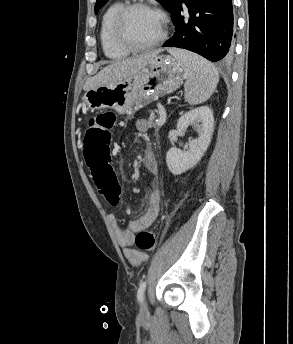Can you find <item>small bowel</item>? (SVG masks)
Here are the masks:
<instances>
[{
  "label": "small bowel",
  "mask_w": 293,
  "mask_h": 344,
  "mask_svg": "<svg viewBox=\"0 0 293 344\" xmlns=\"http://www.w3.org/2000/svg\"><path fill=\"white\" fill-rule=\"evenodd\" d=\"M119 126L122 125L119 124ZM137 128L140 131H146L149 128V122L146 120H141L137 123ZM143 161L148 172L153 175H156L158 173V163L153 151L150 148L146 149ZM159 208L160 191L159 188L155 186L149 193L148 209L145 214L139 219L132 220L126 229H123L119 226L116 215L112 214L110 216V220L115 229L118 243L122 247L125 257L133 266H138L147 259V254H145L144 252H140L139 250L132 247L134 243V234L141 230L147 229L153 224L158 216Z\"/></svg>",
  "instance_id": "c3829d8e"
}]
</instances>
